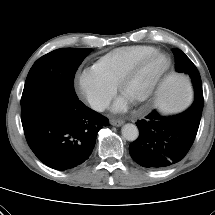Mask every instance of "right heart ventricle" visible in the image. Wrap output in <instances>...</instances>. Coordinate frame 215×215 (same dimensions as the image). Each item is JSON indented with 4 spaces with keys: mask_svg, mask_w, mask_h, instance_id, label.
Instances as JSON below:
<instances>
[{
    "mask_svg": "<svg viewBox=\"0 0 215 215\" xmlns=\"http://www.w3.org/2000/svg\"><path fill=\"white\" fill-rule=\"evenodd\" d=\"M156 50L149 45H135L116 48L100 57L94 68L108 80L118 85L127 70L141 57Z\"/></svg>",
    "mask_w": 215,
    "mask_h": 215,
    "instance_id": "e07e8e85",
    "label": "right heart ventricle"
}]
</instances>
